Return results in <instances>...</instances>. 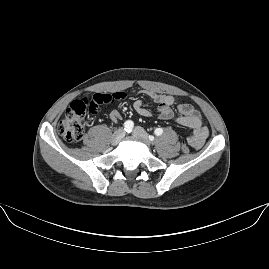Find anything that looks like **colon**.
I'll use <instances>...</instances> for the list:
<instances>
[{"label": "colon", "mask_w": 269, "mask_h": 269, "mask_svg": "<svg viewBox=\"0 0 269 269\" xmlns=\"http://www.w3.org/2000/svg\"><path fill=\"white\" fill-rule=\"evenodd\" d=\"M113 97L126 98V93L107 92L103 95L94 92L91 97H82L75 100L58 122L57 129L59 134L67 141H80L87 126V115L95 113L98 107L109 104ZM181 142L184 146L182 150L186 152L189 146L184 139Z\"/></svg>", "instance_id": "5ec220e1"}]
</instances>
